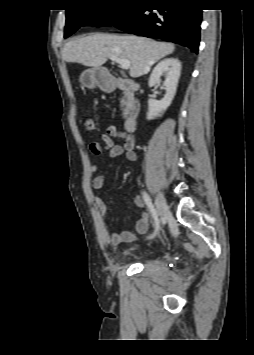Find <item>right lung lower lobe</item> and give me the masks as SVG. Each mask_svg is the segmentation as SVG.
I'll use <instances>...</instances> for the list:
<instances>
[{
  "instance_id": "98d812e1",
  "label": "right lung lower lobe",
  "mask_w": 254,
  "mask_h": 355,
  "mask_svg": "<svg viewBox=\"0 0 254 355\" xmlns=\"http://www.w3.org/2000/svg\"><path fill=\"white\" fill-rule=\"evenodd\" d=\"M152 7L159 8L153 10ZM201 17L197 0H162L132 6L111 26L135 35L184 44L197 53Z\"/></svg>"
}]
</instances>
